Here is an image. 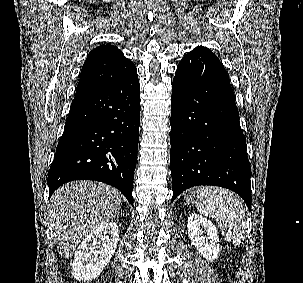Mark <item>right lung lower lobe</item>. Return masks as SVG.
<instances>
[{"instance_id": "98d812e1", "label": "right lung lower lobe", "mask_w": 303, "mask_h": 283, "mask_svg": "<svg viewBox=\"0 0 303 283\" xmlns=\"http://www.w3.org/2000/svg\"><path fill=\"white\" fill-rule=\"evenodd\" d=\"M139 125L137 73L74 98L48 171L49 195L69 181L96 180L119 189L133 206Z\"/></svg>"}]
</instances>
